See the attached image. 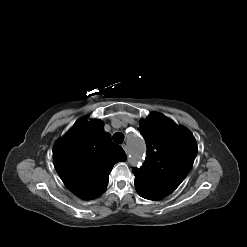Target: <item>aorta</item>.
<instances>
[{"label":"aorta","instance_id":"1","mask_svg":"<svg viewBox=\"0 0 247 247\" xmlns=\"http://www.w3.org/2000/svg\"><path fill=\"white\" fill-rule=\"evenodd\" d=\"M127 143L130 162L136 164L144 156L145 143L136 132L132 131L127 134Z\"/></svg>","mask_w":247,"mask_h":247}]
</instances>
